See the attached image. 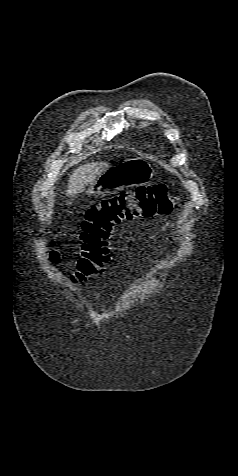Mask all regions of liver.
Returning a JSON list of instances; mask_svg holds the SVG:
<instances>
[{
  "instance_id": "liver-1",
  "label": "liver",
  "mask_w": 238,
  "mask_h": 476,
  "mask_svg": "<svg viewBox=\"0 0 238 476\" xmlns=\"http://www.w3.org/2000/svg\"><path fill=\"white\" fill-rule=\"evenodd\" d=\"M108 168L109 164L106 162H91L79 166L69 177L66 194L73 196L81 193L88 184L93 183L96 177Z\"/></svg>"
}]
</instances>
